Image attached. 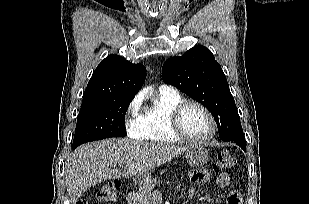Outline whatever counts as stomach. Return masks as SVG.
<instances>
[{
    "label": "stomach",
    "mask_w": 309,
    "mask_h": 204,
    "mask_svg": "<svg viewBox=\"0 0 309 204\" xmlns=\"http://www.w3.org/2000/svg\"><path fill=\"white\" fill-rule=\"evenodd\" d=\"M209 158L208 150L202 145H193L186 151V160L191 167H200L206 163ZM151 179V172L134 177V182L138 185H143Z\"/></svg>",
    "instance_id": "obj_1"
}]
</instances>
